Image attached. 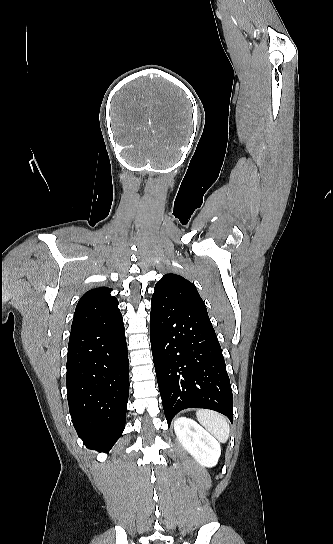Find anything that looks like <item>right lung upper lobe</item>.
<instances>
[{"mask_svg": "<svg viewBox=\"0 0 333 544\" xmlns=\"http://www.w3.org/2000/svg\"><path fill=\"white\" fill-rule=\"evenodd\" d=\"M111 291L99 287L86 292L77 304L71 330L119 313L118 301L110 295Z\"/></svg>", "mask_w": 333, "mask_h": 544, "instance_id": "cb5924a9", "label": "right lung upper lobe"}]
</instances>
